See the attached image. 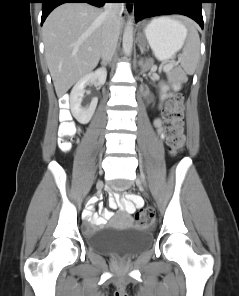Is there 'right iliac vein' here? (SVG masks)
Here are the masks:
<instances>
[{"label": "right iliac vein", "instance_id": "1", "mask_svg": "<svg viewBox=\"0 0 239 296\" xmlns=\"http://www.w3.org/2000/svg\"><path fill=\"white\" fill-rule=\"evenodd\" d=\"M103 186V183L101 182V181H99L98 183H97V188L99 189V188H101Z\"/></svg>", "mask_w": 239, "mask_h": 296}]
</instances>
